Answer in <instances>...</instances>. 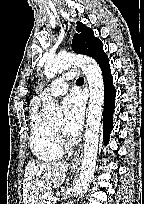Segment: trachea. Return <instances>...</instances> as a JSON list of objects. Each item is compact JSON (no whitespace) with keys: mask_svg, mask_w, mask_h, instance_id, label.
I'll return each mask as SVG.
<instances>
[{"mask_svg":"<svg viewBox=\"0 0 144 204\" xmlns=\"http://www.w3.org/2000/svg\"><path fill=\"white\" fill-rule=\"evenodd\" d=\"M82 82H83V79H82V78H79V79L76 81L77 84H80V83H82Z\"/></svg>","mask_w":144,"mask_h":204,"instance_id":"3493384b","label":"trachea"}]
</instances>
